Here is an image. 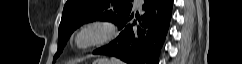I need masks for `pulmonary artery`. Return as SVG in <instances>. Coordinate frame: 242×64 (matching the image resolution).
Returning <instances> with one entry per match:
<instances>
[{"label":"pulmonary artery","mask_w":242,"mask_h":64,"mask_svg":"<svg viewBox=\"0 0 242 64\" xmlns=\"http://www.w3.org/2000/svg\"><path fill=\"white\" fill-rule=\"evenodd\" d=\"M136 5L140 6L142 3V0H135Z\"/></svg>","instance_id":"e3ab8cb5"}]
</instances>
